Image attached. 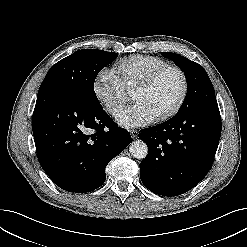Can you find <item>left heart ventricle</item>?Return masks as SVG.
<instances>
[{
	"instance_id": "b2bd125f",
	"label": "left heart ventricle",
	"mask_w": 247,
	"mask_h": 247,
	"mask_svg": "<svg viewBox=\"0 0 247 247\" xmlns=\"http://www.w3.org/2000/svg\"><path fill=\"white\" fill-rule=\"evenodd\" d=\"M182 85L179 73L169 70L163 73L149 88L134 89L132 100L146 105L157 117L175 104L181 93Z\"/></svg>"
}]
</instances>
